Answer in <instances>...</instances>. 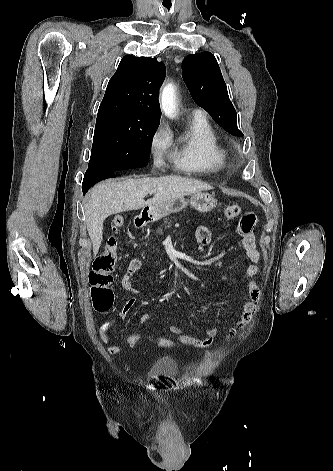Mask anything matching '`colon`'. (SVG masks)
Returning a JSON list of instances; mask_svg holds the SVG:
<instances>
[{
  "instance_id": "colon-1",
  "label": "colon",
  "mask_w": 333,
  "mask_h": 471,
  "mask_svg": "<svg viewBox=\"0 0 333 471\" xmlns=\"http://www.w3.org/2000/svg\"><path fill=\"white\" fill-rule=\"evenodd\" d=\"M241 213L238 204L229 205L224 209L227 218H235ZM124 224L122 216H116L112 222L113 231L117 232ZM118 241L115 237H109L105 243L103 251L97 256L89 274L91 284V298L93 306L98 311H108L111 309L114 294L111 289L113 282V271L117 261ZM145 339H150L157 346L162 348H172L178 343L174 339L167 337H147L140 333H133L126 337V344L135 347Z\"/></svg>"
}]
</instances>
